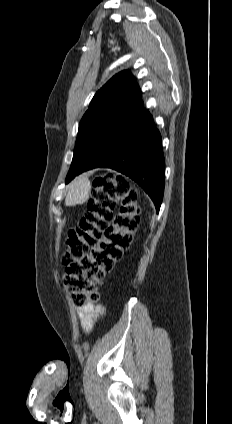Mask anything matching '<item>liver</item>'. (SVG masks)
Listing matches in <instances>:
<instances>
[{"label": "liver", "instance_id": "obj_1", "mask_svg": "<svg viewBox=\"0 0 232 424\" xmlns=\"http://www.w3.org/2000/svg\"><path fill=\"white\" fill-rule=\"evenodd\" d=\"M90 187L86 176H79L68 187L65 198L66 206H75L85 203L89 198Z\"/></svg>", "mask_w": 232, "mask_h": 424}]
</instances>
